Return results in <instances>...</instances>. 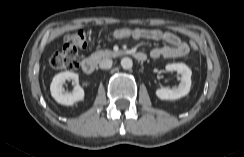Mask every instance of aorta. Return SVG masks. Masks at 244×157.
I'll list each match as a JSON object with an SVG mask.
<instances>
[{"label": "aorta", "instance_id": "obj_1", "mask_svg": "<svg viewBox=\"0 0 244 157\" xmlns=\"http://www.w3.org/2000/svg\"><path fill=\"white\" fill-rule=\"evenodd\" d=\"M121 66H122L123 69H126V70L131 69L132 66H133L132 59L129 58V57L122 58V60H121Z\"/></svg>", "mask_w": 244, "mask_h": 157}]
</instances>
